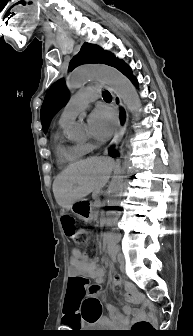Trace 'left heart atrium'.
Returning a JSON list of instances; mask_svg holds the SVG:
<instances>
[{"instance_id":"left-heart-atrium-1","label":"left heart atrium","mask_w":193,"mask_h":336,"mask_svg":"<svg viewBox=\"0 0 193 336\" xmlns=\"http://www.w3.org/2000/svg\"><path fill=\"white\" fill-rule=\"evenodd\" d=\"M115 125L114 115L106 108L94 110L87 120L90 135L99 141L107 140L113 133Z\"/></svg>"}]
</instances>
